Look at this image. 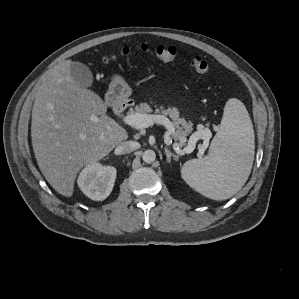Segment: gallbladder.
Instances as JSON below:
<instances>
[{
  "instance_id": "obj_1",
  "label": "gallbladder",
  "mask_w": 299,
  "mask_h": 299,
  "mask_svg": "<svg viewBox=\"0 0 299 299\" xmlns=\"http://www.w3.org/2000/svg\"><path fill=\"white\" fill-rule=\"evenodd\" d=\"M70 74L76 84L87 88L93 85V75L89 67L81 62L70 64Z\"/></svg>"
}]
</instances>
